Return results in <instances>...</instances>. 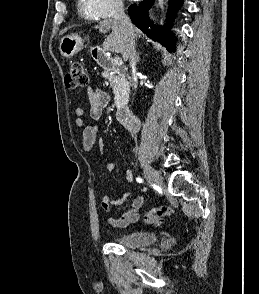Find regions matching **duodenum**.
Returning <instances> with one entry per match:
<instances>
[{
    "label": "duodenum",
    "instance_id": "1",
    "mask_svg": "<svg viewBox=\"0 0 259 294\" xmlns=\"http://www.w3.org/2000/svg\"><path fill=\"white\" fill-rule=\"evenodd\" d=\"M96 59L105 68L113 67L110 59L102 52L96 55ZM117 119L121 124L131 131H137L140 127L139 119L136 118L126 107H120L117 110Z\"/></svg>",
    "mask_w": 259,
    "mask_h": 294
}]
</instances>
